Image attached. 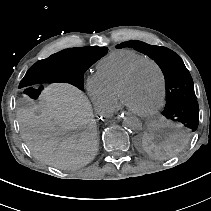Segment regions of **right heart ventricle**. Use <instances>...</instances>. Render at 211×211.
Here are the masks:
<instances>
[{
  "instance_id": "right-heart-ventricle-1",
  "label": "right heart ventricle",
  "mask_w": 211,
  "mask_h": 211,
  "mask_svg": "<svg viewBox=\"0 0 211 211\" xmlns=\"http://www.w3.org/2000/svg\"><path fill=\"white\" fill-rule=\"evenodd\" d=\"M146 56L126 52L103 59L97 64L96 75L107 87L116 101V87L122 77L136 64L144 60Z\"/></svg>"
}]
</instances>
